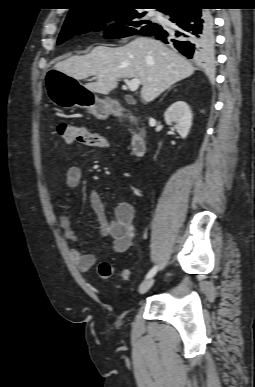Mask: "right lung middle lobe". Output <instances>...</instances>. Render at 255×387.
Segmentation results:
<instances>
[{
  "label": "right lung middle lobe",
  "mask_w": 255,
  "mask_h": 387,
  "mask_svg": "<svg viewBox=\"0 0 255 387\" xmlns=\"http://www.w3.org/2000/svg\"><path fill=\"white\" fill-rule=\"evenodd\" d=\"M145 14L146 12L138 13L134 7L95 10L74 21L65 22L57 44H61L77 34L91 30H101L105 26V22L110 21H115V23L106 29V38H121L141 34L146 28L158 26V24L151 21L140 20Z\"/></svg>",
  "instance_id": "right-lung-middle-lobe-1"
}]
</instances>
